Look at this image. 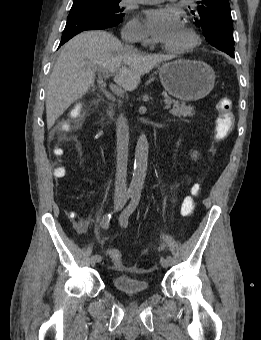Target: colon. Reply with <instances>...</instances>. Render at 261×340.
<instances>
[{
  "instance_id": "obj_1",
  "label": "colon",
  "mask_w": 261,
  "mask_h": 340,
  "mask_svg": "<svg viewBox=\"0 0 261 340\" xmlns=\"http://www.w3.org/2000/svg\"><path fill=\"white\" fill-rule=\"evenodd\" d=\"M233 102L229 97H222L217 101L216 108L218 111V118L216 120L215 133L217 139L226 138L234 128V115L232 111ZM74 115L78 114V108L73 111ZM57 156H61L63 154V150L60 148H56L54 150ZM57 176H63L64 170L61 167H58L55 171ZM200 193L199 185H194L191 191V195L186 197L182 203V214L184 216H189L193 213L195 209V198ZM109 257L112 263L121 268L123 266V257L119 250L111 249L109 252Z\"/></svg>"
}]
</instances>
